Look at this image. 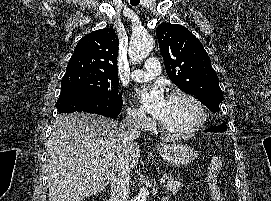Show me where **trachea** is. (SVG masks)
Returning <instances> with one entry per match:
<instances>
[{
	"mask_svg": "<svg viewBox=\"0 0 271 201\" xmlns=\"http://www.w3.org/2000/svg\"><path fill=\"white\" fill-rule=\"evenodd\" d=\"M140 0H130L131 5L136 6L138 5Z\"/></svg>",
	"mask_w": 271,
	"mask_h": 201,
	"instance_id": "1",
	"label": "trachea"
}]
</instances>
